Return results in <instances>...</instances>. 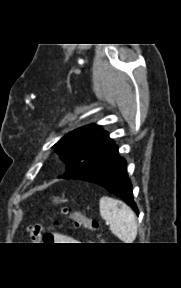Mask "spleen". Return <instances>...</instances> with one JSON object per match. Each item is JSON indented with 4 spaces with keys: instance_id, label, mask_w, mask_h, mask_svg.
Listing matches in <instances>:
<instances>
[{
    "instance_id": "1",
    "label": "spleen",
    "mask_w": 181,
    "mask_h": 288,
    "mask_svg": "<svg viewBox=\"0 0 181 288\" xmlns=\"http://www.w3.org/2000/svg\"><path fill=\"white\" fill-rule=\"evenodd\" d=\"M100 215L110 224V230L124 243H133L137 235L134 212L122 201L103 196L99 203Z\"/></svg>"
}]
</instances>
